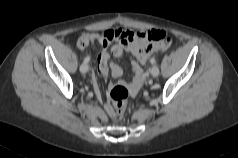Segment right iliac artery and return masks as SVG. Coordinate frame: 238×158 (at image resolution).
<instances>
[{
	"instance_id": "obj_1",
	"label": "right iliac artery",
	"mask_w": 238,
	"mask_h": 158,
	"mask_svg": "<svg viewBox=\"0 0 238 158\" xmlns=\"http://www.w3.org/2000/svg\"><path fill=\"white\" fill-rule=\"evenodd\" d=\"M89 60H90V57L87 56V57L84 59V62L87 63V62H89Z\"/></svg>"
}]
</instances>
